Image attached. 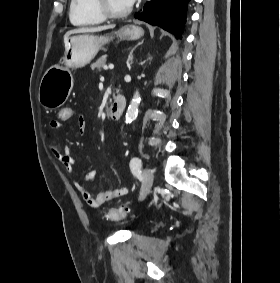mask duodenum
I'll return each instance as SVG.
<instances>
[{
  "label": "duodenum",
  "instance_id": "1",
  "mask_svg": "<svg viewBox=\"0 0 280 283\" xmlns=\"http://www.w3.org/2000/svg\"><path fill=\"white\" fill-rule=\"evenodd\" d=\"M126 107V98L124 95L118 94L108 111V117L110 120H118L124 113Z\"/></svg>",
  "mask_w": 280,
  "mask_h": 283
}]
</instances>
